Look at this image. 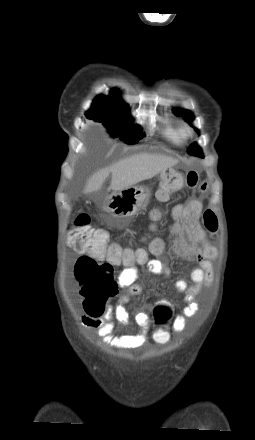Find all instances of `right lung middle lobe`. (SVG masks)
Listing matches in <instances>:
<instances>
[{"instance_id": "obj_1", "label": "right lung middle lobe", "mask_w": 255, "mask_h": 440, "mask_svg": "<svg viewBox=\"0 0 255 440\" xmlns=\"http://www.w3.org/2000/svg\"><path fill=\"white\" fill-rule=\"evenodd\" d=\"M86 117L102 122L110 136L119 137L127 144H134L144 137L143 133L140 134L141 128L131 124L128 106L108 107L93 103Z\"/></svg>"}]
</instances>
